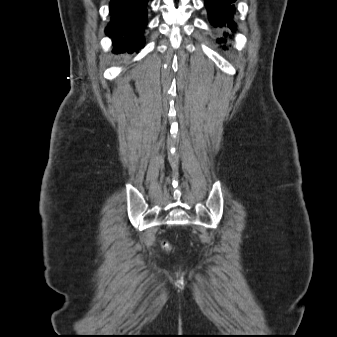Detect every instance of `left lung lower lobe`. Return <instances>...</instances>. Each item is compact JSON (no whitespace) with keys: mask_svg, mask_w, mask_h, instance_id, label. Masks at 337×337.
<instances>
[{"mask_svg":"<svg viewBox=\"0 0 337 337\" xmlns=\"http://www.w3.org/2000/svg\"><path fill=\"white\" fill-rule=\"evenodd\" d=\"M236 0H205V5L209 12V19L214 27L224 28L227 32L224 36H229L230 32H235L237 25L234 22ZM218 42H226L225 39H219Z\"/></svg>","mask_w":337,"mask_h":337,"instance_id":"left-lung-lower-lobe-1","label":"left lung lower lobe"}]
</instances>
